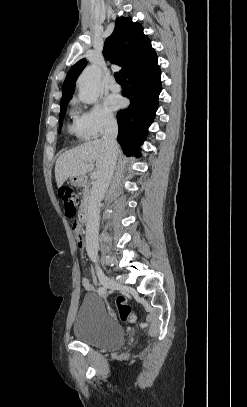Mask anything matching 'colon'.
<instances>
[{
    "label": "colon",
    "mask_w": 247,
    "mask_h": 407,
    "mask_svg": "<svg viewBox=\"0 0 247 407\" xmlns=\"http://www.w3.org/2000/svg\"><path fill=\"white\" fill-rule=\"evenodd\" d=\"M59 196L64 205L65 215L73 217L76 214L77 197L71 187H61L59 190ZM77 226H73L74 232ZM114 304L118 312L119 318L128 323H135L137 320L136 314L132 311L127 300L123 296H117L114 299Z\"/></svg>",
    "instance_id": "obj_1"
}]
</instances>
